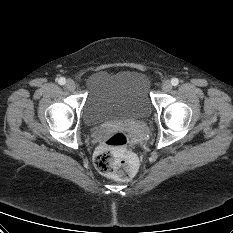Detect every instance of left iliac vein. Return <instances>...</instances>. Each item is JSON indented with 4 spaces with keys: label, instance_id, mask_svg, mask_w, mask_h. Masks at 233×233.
Wrapping results in <instances>:
<instances>
[{
    "label": "left iliac vein",
    "instance_id": "left-iliac-vein-1",
    "mask_svg": "<svg viewBox=\"0 0 233 233\" xmlns=\"http://www.w3.org/2000/svg\"><path fill=\"white\" fill-rule=\"evenodd\" d=\"M162 89L165 91V92H169L171 89H172V85H171V82L166 80L163 85H162Z\"/></svg>",
    "mask_w": 233,
    "mask_h": 233
}]
</instances>
